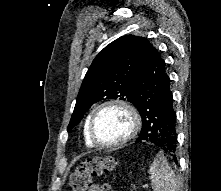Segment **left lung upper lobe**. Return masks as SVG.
<instances>
[{
	"mask_svg": "<svg viewBox=\"0 0 221 191\" xmlns=\"http://www.w3.org/2000/svg\"><path fill=\"white\" fill-rule=\"evenodd\" d=\"M148 43L143 37L122 36L96 56L82 82L68 131L100 100L119 98L135 105V85Z\"/></svg>",
	"mask_w": 221,
	"mask_h": 191,
	"instance_id": "left-lung-upper-lobe-1",
	"label": "left lung upper lobe"
}]
</instances>
